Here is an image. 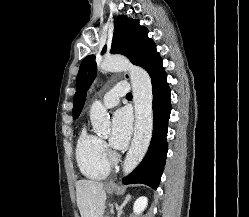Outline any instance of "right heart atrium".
I'll use <instances>...</instances> for the list:
<instances>
[{
  "instance_id": "right-heart-atrium-1",
  "label": "right heart atrium",
  "mask_w": 249,
  "mask_h": 217,
  "mask_svg": "<svg viewBox=\"0 0 249 217\" xmlns=\"http://www.w3.org/2000/svg\"><path fill=\"white\" fill-rule=\"evenodd\" d=\"M102 147H103V148H105V145H104V143H102Z\"/></svg>"
}]
</instances>
